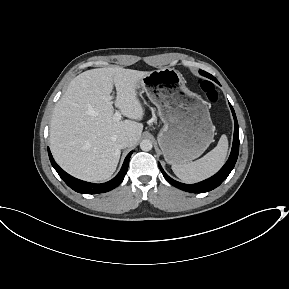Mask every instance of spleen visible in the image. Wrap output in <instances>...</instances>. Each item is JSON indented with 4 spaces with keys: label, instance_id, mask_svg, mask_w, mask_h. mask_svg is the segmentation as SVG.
<instances>
[{
    "label": "spleen",
    "instance_id": "3e777b00",
    "mask_svg": "<svg viewBox=\"0 0 289 289\" xmlns=\"http://www.w3.org/2000/svg\"><path fill=\"white\" fill-rule=\"evenodd\" d=\"M228 151V139L222 135L217 146L202 158L188 164H174V174L186 183H196L215 174L224 164Z\"/></svg>",
    "mask_w": 289,
    "mask_h": 289
}]
</instances>
